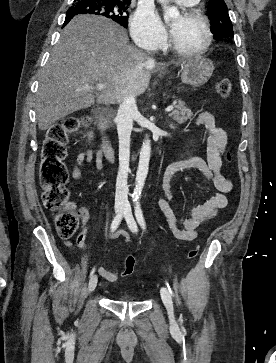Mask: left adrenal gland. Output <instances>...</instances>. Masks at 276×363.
I'll return each mask as SVG.
<instances>
[{
    "label": "left adrenal gland",
    "mask_w": 276,
    "mask_h": 363,
    "mask_svg": "<svg viewBox=\"0 0 276 363\" xmlns=\"http://www.w3.org/2000/svg\"><path fill=\"white\" fill-rule=\"evenodd\" d=\"M169 127H170L171 129H173V128H174V126H173L172 124H170V125H169Z\"/></svg>",
    "instance_id": "a2214340"
}]
</instances>
